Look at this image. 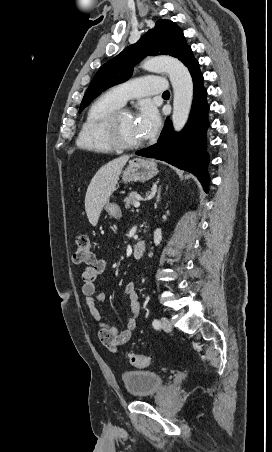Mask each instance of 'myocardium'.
Returning <instances> with one entry per match:
<instances>
[{"label":"myocardium","instance_id":"f54148a6","mask_svg":"<svg viewBox=\"0 0 272 452\" xmlns=\"http://www.w3.org/2000/svg\"><path fill=\"white\" fill-rule=\"evenodd\" d=\"M129 113L128 109L117 108L113 110L104 120L103 128L107 141L115 149H135L143 144V141L128 142L124 140L119 132V120L123 114Z\"/></svg>","mask_w":272,"mask_h":452}]
</instances>
